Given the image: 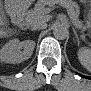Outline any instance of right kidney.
Here are the masks:
<instances>
[{"mask_svg": "<svg viewBox=\"0 0 91 91\" xmlns=\"http://www.w3.org/2000/svg\"><path fill=\"white\" fill-rule=\"evenodd\" d=\"M35 45L32 40L20 42L18 39H12L1 48L0 60L10 64L21 63L31 57Z\"/></svg>", "mask_w": 91, "mask_h": 91, "instance_id": "right-kidney-1", "label": "right kidney"}]
</instances>
